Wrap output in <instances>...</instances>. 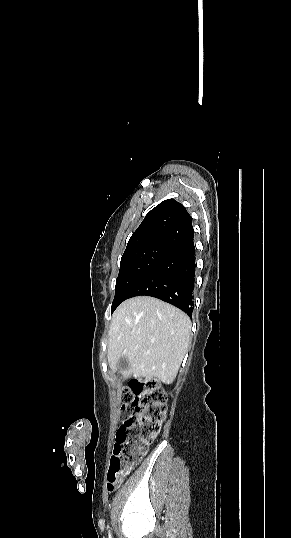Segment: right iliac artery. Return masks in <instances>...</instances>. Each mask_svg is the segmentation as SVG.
Masks as SVG:
<instances>
[{"label": "right iliac artery", "instance_id": "82829eb1", "mask_svg": "<svg viewBox=\"0 0 291 538\" xmlns=\"http://www.w3.org/2000/svg\"><path fill=\"white\" fill-rule=\"evenodd\" d=\"M109 538H112V537H111V533H110V531H109Z\"/></svg>", "mask_w": 291, "mask_h": 538}]
</instances>
